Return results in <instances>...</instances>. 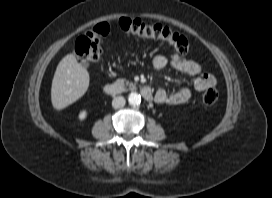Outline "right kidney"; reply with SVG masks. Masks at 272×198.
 Masks as SVG:
<instances>
[{
    "label": "right kidney",
    "instance_id": "ca27d5eb",
    "mask_svg": "<svg viewBox=\"0 0 272 198\" xmlns=\"http://www.w3.org/2000/svg\"><path fill=\"white\" fill-rule=\"evenodd\" d=\"M86 116H87V111L86 110H83V111H81L80 113H79V119L80 120H84L85 118H86Z\"/></svg>",
    "mask_w": 272,
    "mask_h": 198
}]
</instances>
